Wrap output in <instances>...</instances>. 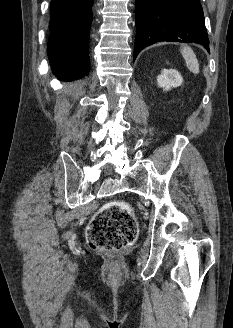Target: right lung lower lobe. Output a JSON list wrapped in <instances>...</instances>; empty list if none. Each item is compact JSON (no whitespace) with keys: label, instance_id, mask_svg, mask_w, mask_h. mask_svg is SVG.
<instances>
[{"label":"right lung lower lobe","instance_id":"98d812e1","mask_svg":"<svg viewBox=\"0 0 233 328\" xmlns=\"http://www.w3.org/2000/svg\"><path fill=\"white\" fill-rule=\"evenodd\" d=\"M94 0H51L48 57L54 75L71 81L89 72L88 41Z\"/></svg>","mask_w":233,"mask_h":328}]
</instances>
